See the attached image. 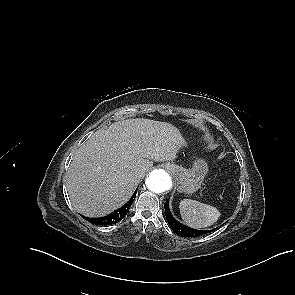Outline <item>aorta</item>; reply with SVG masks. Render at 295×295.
Wrapping results in <instances>:
<instances>
[{"label": "aorta", "mask_w": 295, "mask_h": 295, "mask_svg": "<svg viewBox=\"0 0 295 295\" xmlns=\"http://www.w3.org/2000/svg\"><path fill=\"white\" fill-rule=\"evenodd\" d=\"M146 186L154 193H162L172 186L170 175L163 169H155L149 173L146 179Z\"/></svg>", "instance_id": "obj_1"}]
</instances>
